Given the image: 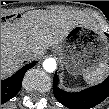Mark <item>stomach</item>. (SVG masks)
I'll return each instance as SVG.
<instances>
[{
  "label": "stomach",
  "instance_id": "obj_1",
  "mask_svg": "<svg viewBox=\"0 0 109 109\" xmlns=\"http://www.w3.org/2000/svg\"><path fill=\"white\" fill-rule=\"evenodd\" d=\"M68 73L77 76L96 69L109 60V41L102 30L86 24L74 27L65 39L54 46Z\"/></svg>",
  "mask_w": 109,
  "mask_h": 109
}]
</instances>
